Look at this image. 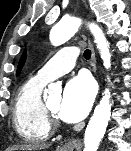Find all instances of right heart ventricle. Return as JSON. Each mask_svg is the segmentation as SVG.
Returning a JSON list of instances; mask_svg holds the SVG:
<instances>
[{
    "mask_svg": "<svg viewBox=\"0 0 131 151\" xmlns=\"http://www.w3.org/2000/svg\"><path fill=\"white\" fill-rule=\"evenodd\" d=\"M46 83L37 76L32 77L20 87L15 98L14 127L27 142H42L51 134V125L41 96Z\"/></svg>",
    "mask_w": 131,
    "mask_h": 151,
    "instance_id": "e07e8e85",
    "label": "right heart ventricle"
}]
</instances>
